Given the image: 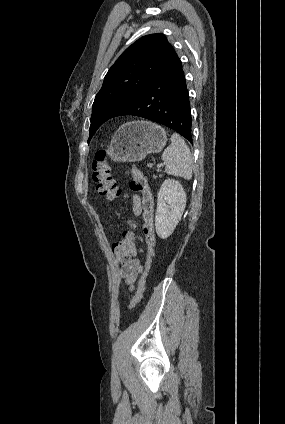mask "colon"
Returning a JSON list of instances; mask_svg holds the SVG:
<instances>
[{
  "label": "colon",
  "mask_w": 285,
  "mask_h": 424,
  "mask_svg": "<svg viewBox=\"0 0 285 424\" xmlns=\"http://www.w3.org/2000/svg\"><path fill=\"white\" fill-rule=\"evenodd\" d=\"M93 180L96 184V189L100 195L107 197L110 200L118 199L124 195L123 191L117 186L112 177V165L108 161V152L106 149H99L92 163ZM126 173L131 176L130 189L133 192L142 195V203L145 210L143 231L146 238L147 253L143 272L138 281V288L133 296L129 308H135L141 301L145 290V283L151 263L154 257L155 234L153 228V196L148 184L146 176L135 166L129 165L126 168ZM135 244L133 238L126 234L120 241L112 244V252L119 261L130 259L134 255Z\"/></svg>",
  "instance_id": "5ec220e1"
}]
</instances>
